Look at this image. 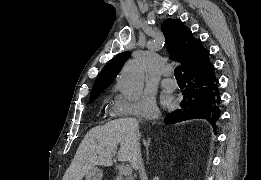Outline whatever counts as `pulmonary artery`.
<instances>
[{
	"label": "pulmonary artery",
	"instance_id": "pulmonary-artery-1",
	"mask_svg": "<svg viewBox=\"0 0 261 180\" xmlns=\"http://www.w3.org/2000/svg\"><path fill=\"white\" fill-rule=\"evenodd\" d=\"M162 74L164 76V79L161 81L162 87L168 90H174L177 87V83L172 78L173 69H164Z\"/></svg>",
	"mask_w": 261,
	"mask_h": 180
}]
</instances>
